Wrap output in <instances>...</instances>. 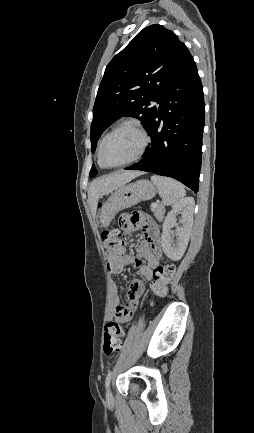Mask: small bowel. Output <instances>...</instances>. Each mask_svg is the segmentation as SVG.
Instances as JSON below:
<instances>
[{
    "label": "small bowel",
    "mask_w": 254,
    "mask_h": 433,
    "mask_svg": "<svg viewBox=\"0 0 254 433\" xmlns=\"http://www.w3.org/2000/svg\"><path fill=\"white\" fill-rule=\"evenodd\" d=\"M120 222L124 228L140 230L144 238L136 245L137 256H123L117 267H110L111 272L117 274L122 272L127 265H132L136 267L143 278L150 283L152 290L155 292L157 289L155 271L159 267V261L162 255L159 229L151 221L131 225L128 221V215L126 214L120 217ZM109 290L110 301L105 313L107 321L117 320L120 323L128 322L131 319L140 297L144 293L145 284L140 280H133L131 282L125 305L120 304L119 289L114 281L110 283ZM164 291L166 294V286H164Z\"/></svg>",
    "instance_id": "1"
}]
</instances>
